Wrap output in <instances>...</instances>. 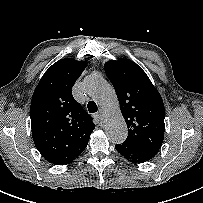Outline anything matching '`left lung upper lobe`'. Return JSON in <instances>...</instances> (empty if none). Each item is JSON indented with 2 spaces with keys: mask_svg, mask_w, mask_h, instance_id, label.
Instances as JSON below:
<instances>
[{
  "mask_svg": "<svg viewBox=\"0 0 203 203\" xmlns=\"http://www.w3.org/2000/svg\"><path fill=\"white\" fill-rule=\"evenodd\" d=\"M104 69L128 127L125 143L156 154L165 131V109L159 92L141 67L129 59L108 61Z\"/></svg>",
  "mask_w": 203,
  "mask_h": 203,
  "instance_id": "obj_1",
  "label": "left lung upper lobe"
}]
</instances>
